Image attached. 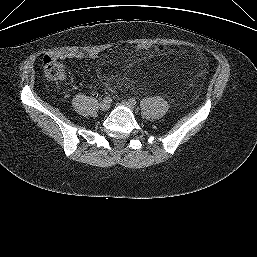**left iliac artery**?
I'll return each instance as SVG.
<instances>
[{
	"mask_svg": "<svg viewBox=\"0 0 257 257\" xmlns=\"http://www.w3.org/2000/svg\"><path fill=\"white\" fill-rule=\"evenodd\" d=\"M129 102L133 105H135L137 103L136 99L135 98H130L129 99Z\"/></svg>",
	"mask_w": 257,
	"mask_h": 257,
	"instance_id": "obj_1",
	"label": "left iliac artery"
}]
</instances>
